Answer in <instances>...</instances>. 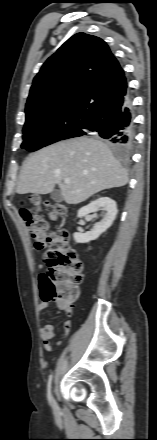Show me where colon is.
Returning a JSON list of instances; mask_svg holds the SVG:
<instances>
[{"mask_svg":"<svg viewBox=\"0 0 157 440\" xmlns=\"http://www.w3.org/2000/svg\"><path fill=\"white\" fill-rule=\"evenodd\" d=\"M50 209L54 218L65 212V207L60 204ZM20 213L33 238L34 247L43 250L49 246L43 254L48 270L39 278L41 297L69 315L83 281L82 263L76 251L68 245L67 232L50 231L47 221L28 208H23Z\"/></svg>","mask_w":157,"mask_h":440,"instance_id":"obj_1","label":"colon"}]
</instances>
